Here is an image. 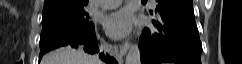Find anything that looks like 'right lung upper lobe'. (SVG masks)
<instances>
[{
    "label": "right lung upper lobe",
    "mask_w": 242,
    "mask_h": 64,
    "mask_svg": "<svg viewBox=\"0 0 242 64\" xmlns=\"http://www.w3.org/2000/svg\"><path fill=\"white\" fill-rule=\"evenodd\" d=\"M88 0H45L43 13L84 8L87 6Z\"/></svg>",
    "instance_id": "1"
}]
</instances>
